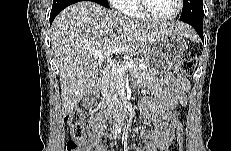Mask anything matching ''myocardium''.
<instances>
[{
	"label": "myocardium",
	"instance_id": "1",
	"mask_svg": "<svg viewBox=\"0 0 231 151\" xmlns=\"http://www.w3.org/2000/svg\"><path fill=\"white\" fill-rule=\"evenodd\" d=\"M182 5H183V1L182 0H176V10L173 14H171L170 16L167 17H163V18H158V17H154L152 15H150L146 9V0H137L136 2V7L137 10L140 14V16L149 22H153V23H168L173 21L181 12L182 10Z\"/></svg>",
	"mask_w": 231,
	"mask_h": 151
}]
</instances>
